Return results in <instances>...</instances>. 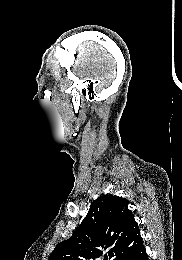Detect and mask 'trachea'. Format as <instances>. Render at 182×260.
I'll use <instances>...</instances> for the list:
<instances>
[{
    "label": "trachea",
    "instance_id": "obj_1",
    "mask_svg": "<svg viewBox=\"0 0 182 260\" xmlns=\"http://www.w3.org/2000/svg\"><path fill=\"white\" fill-rule=\"evenodd\" d=\"M104 260H108V258L106 257Z\"/></svg>",
    "mask_w": 182,
    "mask_h": 260
}]
</instances>
